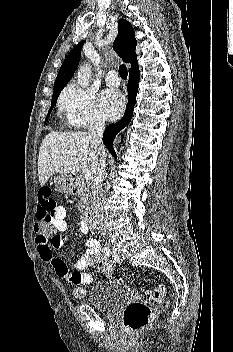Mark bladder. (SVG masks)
I'll use <instances>...</instances> for the list:
<instances>
[{"label":"bladder","mask_w":233,"mask_h":352,"mask_svg":"<svg viewBox=\"0 0 233 352\" xmlns=\"http://www.w3.org/2000/svg\"><path fill=\"white\" fill-rule=\"evenodd\" d=\"M126 299V292L115 281L95 284L87 297V303L103 314L113 315Z\"/></svg>","instance_id":"obj_1"}]
</instances>
